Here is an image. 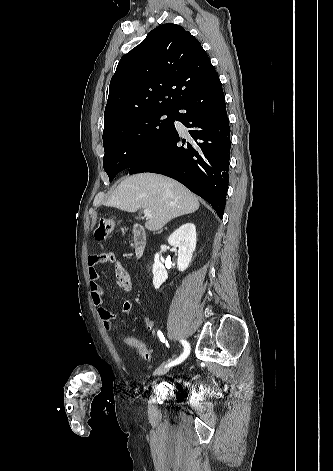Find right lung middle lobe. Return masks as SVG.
<instances>
[{"label":"right lung middle lobe","instance_id":"dd1d6c3e","mask_svg":"<svg viewBox=\"0 0 333 471\" xmlns=\"http://www.w3.org/2000/svg\"><path fill=\"white\" fill-rule=\"evenodd\" d=\"M174 112L147 110L112 123L103 131V167L111 182L129 169L172 127Z\"/></svg>","mask_w":333,"mask_h":471}]
</instances>
